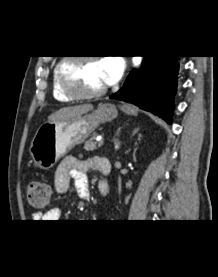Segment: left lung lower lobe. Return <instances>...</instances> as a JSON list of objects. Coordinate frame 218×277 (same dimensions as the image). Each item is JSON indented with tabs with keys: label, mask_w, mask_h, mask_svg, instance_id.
Masks as SVG:
<instances>
[{
	"label": "left lung lower lobe",
	"mask_w": 218,
	"mask_h": 277,
	"mask_svg": "<svg viewBox=\"0 0 218 277\" xmlns=\"http://www.w3.org/2000/svg\"><path fill=\"white\" fill-rule=\"evenodd\" d=\"M141 71L133 70L110 98L132 103L171 123L177 89L178 56H147Z\"/></svg>",
	"instance_id": "0a47b994"
}]
</instances>
